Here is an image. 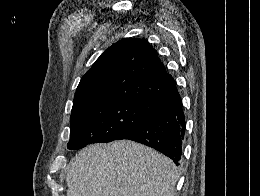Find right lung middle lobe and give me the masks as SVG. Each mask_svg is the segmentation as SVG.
Returning a JSON list of instances; mask_svg holds the SVG:
<instances>
[{
    "label": "right lung middle lobe",
    "instance_id": "obj_1",
    "mask_svg": "<svg viewBox=\"0 0 260 196\" xmlns=\"http://www.w3.org/2000/svg\"><path fill=\"white\" fill-rule=\"evenodd\" d=\"M151 117L141 104L123 99L73 106L67 148L76 150L90 143L117 140Z\"/></svg>",
    "mask_w": 260,
    "mask_h": 196
}]
</instances>
